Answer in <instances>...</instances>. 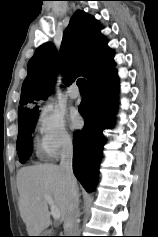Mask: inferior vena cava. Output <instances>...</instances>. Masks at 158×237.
I'll use <instances>...</instances> for the list:
<instances>
[{
	"label": "inferior vena cava",
	"instance_id": "602c4592",
	"mask_svg": "<svg viewBox=\"0 0 158 237\" xmlns=\"http://www.w3.org/2000/svg\"><path fill=\"white\" fill-rule=\"evenodd\" d=\"M73 144L69 136L65 137L61 146L60 168L65 171L69 185L67 213L64 220V230L68 236H79V192L72 168Z\"/></svg>",
	"mask_w": 158,
	"mask_h": 237
}]
</instances>
